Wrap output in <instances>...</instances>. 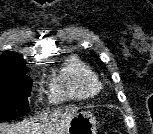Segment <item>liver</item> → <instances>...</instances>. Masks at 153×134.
<instances>
[{"mask_svg":"<svg viewBox=\"0 0 153 134\" xmlns=\"http://www.w3.org/2000/svg\"><path fill=\"white\" fill-rule=\"evenodd\" d=\"M77 112L76 108H67L64 110H56L43 115L39 120L31 122H22L12 125H0V134H41L42 132L55 134H63L74 114ZM50 118V122L48 121Z\"/></svg>","mask_w":153,"mask_h":134,"instance_id":"liver-1","label":"liver"}]
</instances>
